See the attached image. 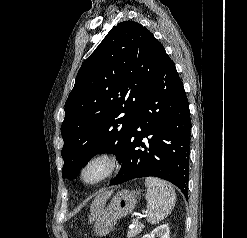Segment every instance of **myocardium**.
<instances>
[{"instance_id": "obj_1", "label": "myocardium", "mask_w": 247, "mask_h": 238, "mask_svg": "<svg viewBox=\"0 0 247 238\" xmlns=\"http://www.w3.org/2000/svg\"><path fill=\"white\" fill-rule=\"evenodd\" d=\"M100 167L101 172L94 177L89 176L91 169ZM118 156L110 150H98L89 155L78 170V179L85 186H94L109 179L118 169Z\"/></svg>"}]
</instances>
